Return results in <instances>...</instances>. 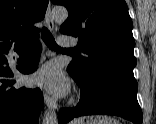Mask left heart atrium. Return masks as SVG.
<instances>
[{
    "label": "left heart atrium",
    "mask_w": 156,
    "mask_h": 124,
    "mask_svg": "<svg viewBox=\"0 0 156 124\" xmlns=\"http://www.w3.org/2000/svg\"><path fill=\"white\" fill-rule=\"evenodd\" d=\"M33 82L54 96L61 97L69 91V81L55 62L44 64L33 76Z\"/></svg>",
    "instance_id": "39dd6f15"
}]
</instances>
